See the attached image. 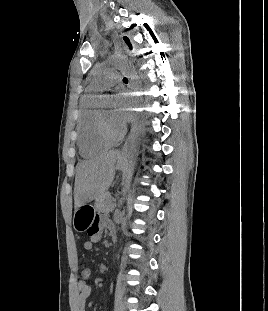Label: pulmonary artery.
Segmentation results:
<instances>
[{"label": "pulmonary artery", "mask_w": 268, "mask_h": 311, "mask_svg": "<svg viewBox=\"0 0 268 311\" xmlns=\"http://www.w3.org/2000/svg\"><path fill=\"white\" fill-rule=\"evenodd\" d=\"M121 80L119 72L108 70L99 75L90 84L89 89L93 92H101L112 87L115 83Z\"/></svg>", "instance_id": "1"}]
</instances>
